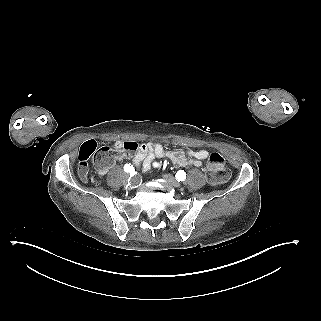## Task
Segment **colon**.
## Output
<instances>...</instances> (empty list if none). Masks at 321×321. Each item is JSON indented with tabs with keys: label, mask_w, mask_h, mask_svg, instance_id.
Segmentation results:
<instances>
[{
	"label": "colon",
	"mask_w": 321,
	"mask_h": 321,
	"mask_svg": "<svg viewBox=\"0 0 321 321\" xmlns=\"http://www.w3.org/2000/svg\"><path fill=\"white\" fill-rule=\"evenodd\" d=\"M123 148L130 153H134L138 150L139 144L135 141H128L123 144ZM107 160L108 158L99 152H97L94 157L95 164L98 162L103 163ZM78 172L80 177L88 178L89 166L87 153L82 154L79 157ZM205 172L206 179L211 185H219L225 182L229 177V170L226 166L225 159L220 153L217 152H213L209 155Z\"/></svg>",
	"instance_id": "colon-1"
}]
</instances>
